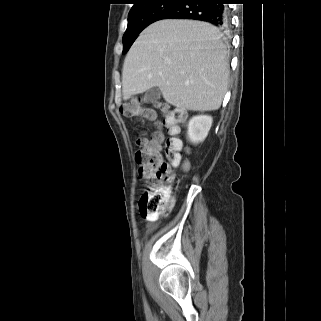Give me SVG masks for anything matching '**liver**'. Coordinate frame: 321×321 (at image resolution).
Instances as JSON below:
<instances>
[{
    "label": "liver",
    "mask_w": 321,
    "mask_h": 321,
    "mask_svg": "<svg viewBox=\"0 0 321 321\" xmlns=\"http://www.w3.org/2000/svg\"><path fill=\"white\" fill-rule=\"evenodd\" d=\"M229 64L219 30L209 23L166 19L148 26L124 60L123 99L158 87L165 101L192 111L219 109Z\"/></svg>",
    "instance_id": "liver-1"
}]
</instances>
